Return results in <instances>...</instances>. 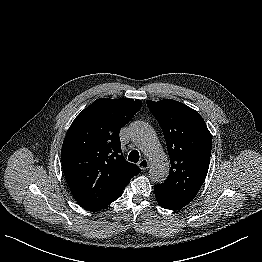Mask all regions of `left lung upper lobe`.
<instances>
[{"instance_id": "5c2ea615", "label": "left lung upper lobe", "mask_w": 262, "mask_h": 262, "mask_svg": "<svg viewBox=\"0 0 262 262\" xmlns=\"http://www.w3.org/2000/svg\"><path fill=\"white\" fill-rule=\"evenodd\" d=\"M146 103L161 126L170 157L168 178L158 186L193 200L209 169L211 134L203 118L181 102L166 99Z\"/></svg>"}]
</instances>
